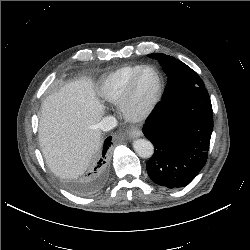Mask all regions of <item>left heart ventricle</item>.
<instances>
[{"mask_svg": "<svg viewBox=\"0 0 250 250\" xmlns=\"http://www.w3.org/2000/svg\"><path fill=\"white\" fill-rule=\"evenodd\" d=\"M157 87V78L153 71H145L141 76L132 100L135 111L142 110L152 98Z\"/></svg>", "mask_w": 250, "mask_h": 250, "instance_id": "obj_1", "label": "left heart ventricle"}]
</instances>
